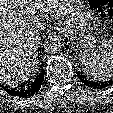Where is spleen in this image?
I'll list each match as a JSON object with an SVG mask.
<instances>
[{"label": "spleen", "mask_w": 113, "mask_h": 113, "mask_svg": "<svg viewBox=\"0 0 113 113\" xmlns=\"http://www.w3.org/2000/svg\"><path fill=\"white\" fill-rule=\"evenodd\" d=\"M79 61L84 72L93 80L110 79L113 76V38L102 42L93 51L83 52Z\"/></svg>", "instance_id": "1"}]
</instances>
